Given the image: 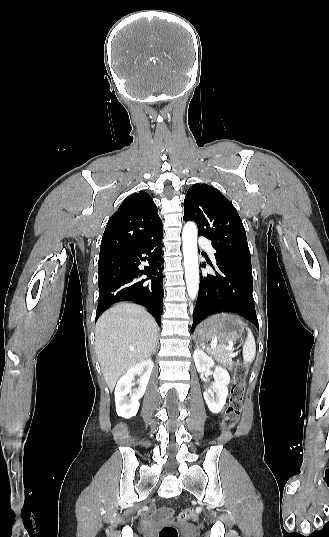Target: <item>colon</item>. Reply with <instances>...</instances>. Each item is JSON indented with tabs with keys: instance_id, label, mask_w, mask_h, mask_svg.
Returning <instances> with one entry per match:
<instances>
[{
	"instance_id": "obj_1",
	"label": "colon",
	"mask_w": 329,
	"mask_h": 537,
	"mask_svg": "<svg viewBox=\"0 0 329 537\" xmlns=\"http://www.w3.org/2000/svg\"><path fill=\"white\" fill-rule=\"evenodd\" d=\"M246 371L247 368L244 364H238L235 368L233 385L229 397V405L222 423V426L225 430L232 429L238 422L244 394ZM177 518L180 522H186L189 520H194L196 518V514L194 510L186 509L181 511ZM158 537H179V532L174 526L165 525L159 530Z\"/></svg>"
}]
</instances>
